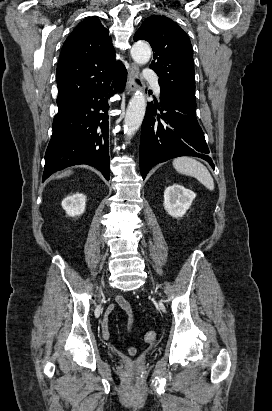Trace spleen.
<instances>
[{"label": "spleen", "instance_id": "obj_1", "mask_svg": "<svg viewBox=\"0 0 272 411\" xmlns=\"http://www.w3.org/2000/svg\"><path fill=\"white\" fill-rule=\"evenodd\" d=\"M175 170L183 175L196 178L210 191L214 190V181L208 169L199 161L191 157H178L172 162Z\"/></svg>", "mask_w": 272, "mask_h": 411}]
</instances>
